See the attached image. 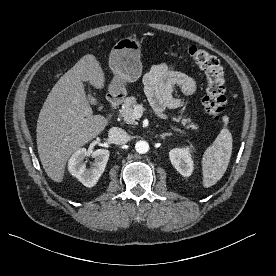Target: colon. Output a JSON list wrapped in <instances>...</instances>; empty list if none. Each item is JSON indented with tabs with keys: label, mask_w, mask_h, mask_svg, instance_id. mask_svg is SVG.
Listing matches in <instances>:
<instances>
[{
	"label": "colon",
	"mask_w": 276,
	"mask_h": 276,
	"mask_svg": "<svg viewBox=\"0 0 276 276\" xmlns=\"http://www.w3.org/2000/svg\"><path fill=\"white\" fill-rule=\"evenodd\" d=\"M187 53L205 73L207 85L202 103L208 116L217 121L226 106L225 79L220 62L208 51L195 45L189 46Z\"/></svg>",
	"instance_id": "obj_1"
}]
</instances>
